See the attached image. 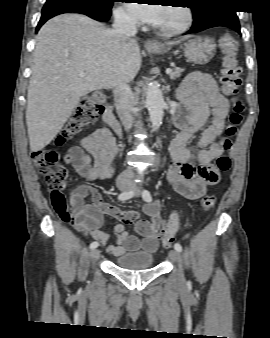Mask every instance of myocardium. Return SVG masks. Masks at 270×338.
Segmentation results:
<instances>
[{"label":"myocardium","mask_w":270,"mask_h":338,"mask_svg":"<svg viewBox=\"0 0 270 338\" xmlns=\"http://www.w3.org/2000/svg\"><path fill=\"white\" fill-rule=\"evenodd\" d=\"M177 1V0H173ZM179 9L183 13V21L180 25L173 27V28H158L156 26L153 27V29L162 36H176L185 33L192 25L193 23V12L190 7L183 5V4H177ZM168 7H174V6H168Z\"/></svg>","instance_id":"obj_1"}]
</instances>
